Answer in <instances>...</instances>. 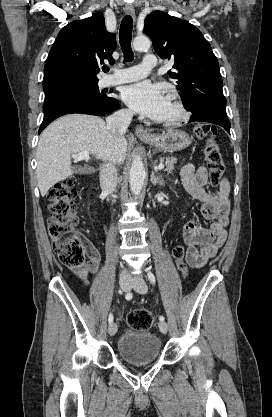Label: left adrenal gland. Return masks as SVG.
I'll use <instances>...</instances> for the list:
<instances>
[{
	"mask_svg": "<svg viewBox=\"0 0 272 417\" xmlns=\"http://www.w3.org/2000/svg\"><path fill=\"white\" fill-rule=\"evenodd\" d=\"M150 181L153 185H157V184L163 185L162 175L156 176L154 171L151 172Z\"/></svg>",
	"mask_w": 272,
	"mask_h": 417,
	"instance_id": "obj_1",
	"label": "left adrenal gland"
}]
</instances>
